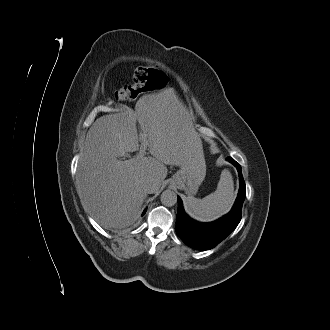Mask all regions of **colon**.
<instances>
[{
	"label": "colon",
	"instance_id": "colon-1",
	"mask_svg": "<svg viewBox=\"0 0 330 330\" xmlns=\"http://www.w3.org/2000/svg\"><path fill=\"white\" fill-rule=\"evenodd\" d=\"M165 75L156 67L143 65L136 69L133 82L120 86L116 91L119 100L129 101L140 93L151 91L163 86Z\"/></svg>",
	"mask_w": 330,
	"mask_h": 330
}]
</instances>
